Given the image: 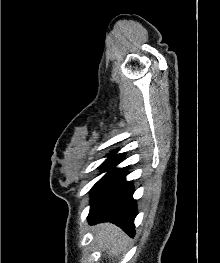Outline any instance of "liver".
<instances>
[{
  "label": "liver",
  "mask_w": 220,
  "mask_h": 263,
  "mask_svg": "<svg viewBox=\"0 0 220 263\" xmlns=\"http://www.w3.org/2000/svg\"><path fill=\"white\" fill-rule=\"evenodd\" d=\"M94 232L101 249L111 258L118 256L127 245L128 237L114 224H99L94 228Z\"/></svg>",
  "instance_id": "6515ba94"
}]
</instances>
